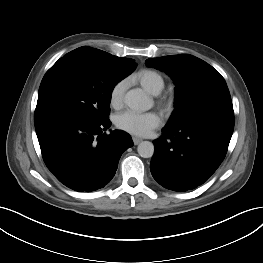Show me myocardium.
I'll use <instances>...</instances> for the list:
<instances>
[{
  "mask_svg": "<svg viewBox=\"0 0 263 263\" xmlns=\"http://www.w3.org/2000/svg\"><path fill=\"white\" fill-rule=\"evenodd\" d=\"M173 98L171 97H165L161 100V105L166 111H170L173 108Z\"/></svg>",
  "mask_w": 263,
  "mask_h": 263,
  "instance_id": "1",
  "label": "myocardium"
}]
</instances>
